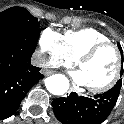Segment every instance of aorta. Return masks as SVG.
<instances>
[{"instance_id":"1","label":"aorta","mask_w":124,"mask_h":124,"mask_svg":"<svg viewBox=\"0 0 124 124\" xmlns=\"http://www.w3.org/2000/svg\"><path fill=\"white\" fill-rule=\"evenodd\" d=\"M46 88L53 95H63L69 89V80L62 74H55L46 81Z\"/></svg>"}]
</instances>
